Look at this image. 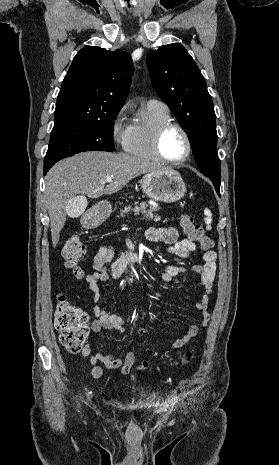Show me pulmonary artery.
Returning a JSON list of instances; mask_svg holds the SVG:
<instances>
[{"instance_id":"1","label":"pulmonary artery","mask_w":279,"mask_h":465,"mask_svg":"<svg viewBox=\"0 0 279 465\" xmlns=\"http://www.w3.org/2000/svg\"><path fill=\"white\" fill-rule=\"evenodd\" d=\"M148 103H161V104H164V103H162V102H160V101H158L156 99H151V100L148 101Z\"/></svg>"}]
</instances>
